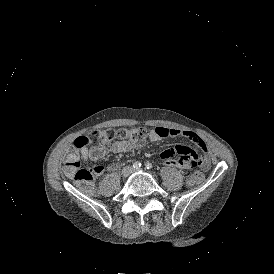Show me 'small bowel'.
<instances>
[{
    "mask_svg": "<svg viewBox=\"0 0 274 274\" xmlns=\"http://www.w3.org/2000/svg\"><path fill=\"white\" fill-rule=\"evenodd\" d=\"M181 136L189 139L196 144L204 153V156L199 160V154L189 147L169 146L162 153L164 163L170 168H180L184 166L188 170H198L200 167L209 168L210 157L209 151L204 140L195 132L188 130L169 129L166 127H156L149 132V140L158 142L166 137ZM130 142L125 140H117L109 147L103 145H94L91 147L84 146L79 149V152L84 160L98 161L102 159L108 152L123 153L132 149Z\"/></svg>",
    "mask_w": 274,
    "mask_h": 274,
    "instance_id": "small-bowel-1",
    "label": "small bowel"
}]
</instances>
